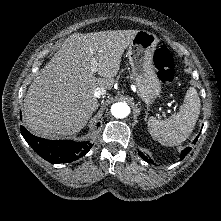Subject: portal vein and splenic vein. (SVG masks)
Returning <instances> with one entry per match:
<instances>
[{"label":"portal vein and splenic vein","mask_w":221,"mask_h":221,"mask_svg":"<svg viewBox=\"0 0 221 221\" xmlns=\"http://www.w3.org/2000/svg\"><path fill=\"white\" fill-rule=\"evenodd\" d=\"M97 67H98V63L95 59L91 60V71L92 73H96L97 72Z\"/></svg>","instance_id":"portal-vein-and-splenic-vein-1"}]
</instances>
